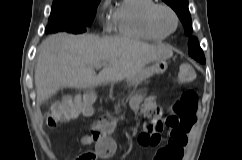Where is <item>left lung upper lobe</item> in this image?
Masks as SVG:
<instances>
[{
	"label": "left lung upper lobe",
	"instance_id": "5c2ea615",
	"mask_svg": "<svg viewBox=\"0 0 242 160\" xmlns=\"http://www.w3.org/2000/svg\"><path fill=\"white\" fill-rule=\"evenodd\" d=\"M167 3L178 15L184 26V32L186 35L190 36L192 33V22L191 15L188 9V0H163ZM188 53L195 60L205 63V57L202 49L198 44V40L196 37H191L188 42Z\"/></svg>",
	"mask_w": 242,
	"mask_h": 160
}]
</instances>
